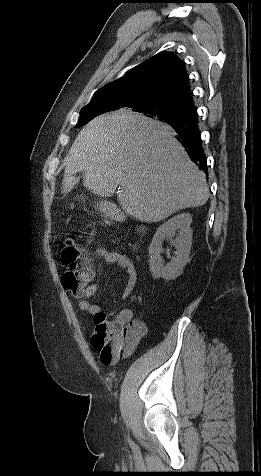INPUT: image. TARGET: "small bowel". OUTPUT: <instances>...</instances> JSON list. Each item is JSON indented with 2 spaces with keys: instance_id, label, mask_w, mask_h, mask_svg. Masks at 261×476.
Wrapping results in <instances>:
<instances>
[{
  "instance_id": "c3829d8e",
  "label": "small bowel",
  "mask_w": 261,
  "mask_h": 476,
  "mask_svg": "<svg viewBox=\"0 0 261 476\" xmlns=\"http://www.w3.org/2000/svg\"><path fill=\"white\" fill-rule=\"evenodd\" d=\"M95 255L101 258V264L97 269L92 270V278L90 282L81 290L74 293L79 300V307L82 311L93 315L95 318L101 313V307L91 302V298L98 290L99 281L93 279L99 276L102 264H116L125 270L127 274V282L123 291L122 298L128 299L137 285V271L133 261L123 253L109 251L104 248L96 250ZM113 328L122 331L121 341L112 349L109 355L100 354V358L104 364L110 365L116 363L119 359L128 357L137 347L140 339L146 332V326L143 321L133 317L128 309H122L110 324Z\"/></svg>"
}]
</instances>
